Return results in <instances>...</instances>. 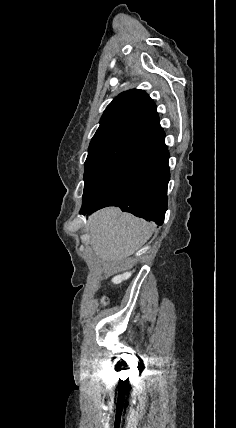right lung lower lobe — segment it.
<instances>
[{
    "mask_svg": "<svg viewBox=\"0 0 236 428\" xmlns=\"http://www.w3.org/2000/svg\"><path fill=\"white\" fill-rule=\"evenodd\" d=\"M164 137L161 129L146 139L128 170L94 202L82 205L80 213L90 214L106 206H118L122 211L162 225L170 178Z\"/></svg>",
    "mask_w": 236,
    "mask_h": 428,
    "instance_id": "1",
    "label": "right lung lower lobe"
}]
</instances>
